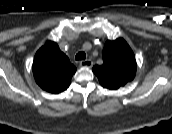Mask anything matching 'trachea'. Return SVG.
Returning a JSON list of instances; mask_svg holds the SVG:
<instances>
[{"label":"trachea","mask_w":172,"mask_h":134,"mask_svg":"<svg viewBox=\"0 0 172 134\" xmlns=\"http://www.w3.org/2000/svg\"><path fill=\"white\" fill-rule=\"evenodd\" d=\"M76 60H85L86 59V54L83 51H80L79 53H77V55L75 56Z\"/></svg>","instance_id":"trachea-1"}]
</instances>
